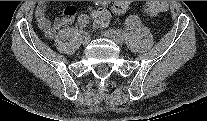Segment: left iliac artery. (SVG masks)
Masks as SVG:
<instances>
[{
    "label": "left iliac artery",
    "mask_w": 207,
    "mask_h": 121,
    "mask_svg": "<svg viewBox=\"0 0 207 121\" xmlns=\"http://www.w3.org/2000/svg\"><path fill=\"white\" fill-rule=\"evenodd\" d=\"M140 21V16L139 15H132L124 18V23L125 24H133V23H138Z\"/></svg>",
    "instance_id": "44dca946"
}]
</instances>
